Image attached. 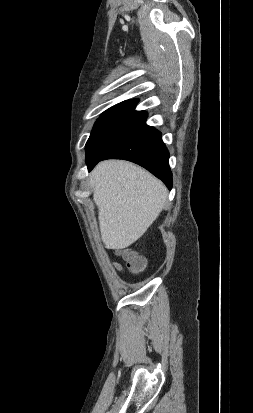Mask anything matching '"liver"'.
Masks as SVG:
<instances>
[{
  "label": "liver",
  "instance_id": "liver-1",
  "mask_svg": "<svg viewBox=\"0 0 253 413\" xmlns=\"http://www.w3.org/2000/svg\"><path fill=\"white\" fill-rule=\"evenodd\" d=\"M101 239L108 249L136 242L164 208L168 191L140 166L123 160L100 162L90 175Z\"/></svg>",
  "mask_w": 253,
  "mask_h": 413
}]
</instances>
